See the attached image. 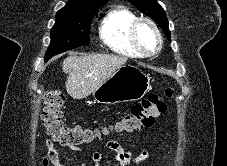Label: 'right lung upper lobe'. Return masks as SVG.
Returning a JSON list of instances; mask_svg holds the SVG:
<instances>
[{
  "mask_svg": "<svg viewBox=\"0 0 227 166\" xmlns=\"http://www.w3.org/2000/svg\"><path fill=\"white\" fill-rule=\"evenodd\" d=\"M108 0H71L67 5L60 9L57 14L79 13L91 8L99 7Z\"/></svg>",
  "mask_w": 227,
  "mask_h": 166,
  "instance_id": "1",
  "label": "right lung upper lobe"
}]
</instances>
